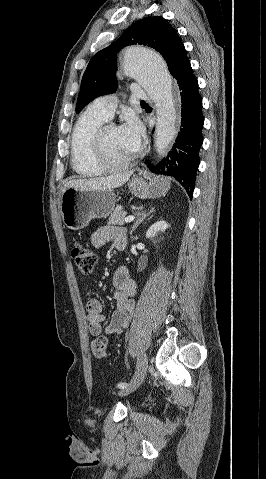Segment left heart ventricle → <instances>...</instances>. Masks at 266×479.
<instances>
[{
  "instance_id": "left-heart-ventricle-1",
  "label": "left heart ventricle",
  "mask_w": 266,
  "mask_h": 479,
  "mask_svg": "<svg viewBox=\"0 0 266 479\" xmlns=\"http://www.w3.org/2000/svg\"><path fill=\"white\" fill-rule=\"evenodd\" d=\"M105 148L108 158L114 163H121L132 157L119 129H111L106 133Z\"/></svg>"
}]
</instances>
